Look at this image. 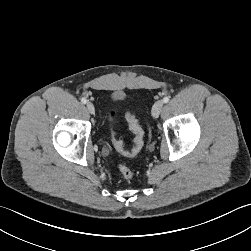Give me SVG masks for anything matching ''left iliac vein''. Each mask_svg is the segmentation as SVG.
Wrapping results in <instances>:
<instances>
[{"mask_svg":"<svg viewBox=\"0 0 251 251\" xmlns=\"http://www.w3.org/2000/svg\"><path fill=\"white\" fill-rule=\"evenodd\" d=\"M164 106V102L162 100L157 101L152 107V116L157 118L161 113Z\"/></svg>","mask_w":251,"mask_h":251,"instance_id":"obj_1","label":"left iliac vein"}]
</instances>
